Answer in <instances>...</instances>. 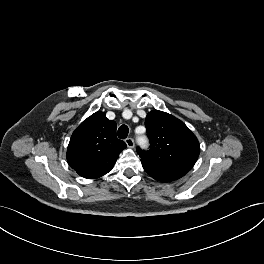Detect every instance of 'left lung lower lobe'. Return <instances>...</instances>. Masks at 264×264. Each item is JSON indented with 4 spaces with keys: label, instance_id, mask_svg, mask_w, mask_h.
<instances>
[{
    "label": "left lung lower lobe",
    "instance_id": "1",
    "mask_svg": "<svg viewBox=\"0 0 264 264\" xmlns=\"http://www.w3.org/2000/svg\"><path fill=\"white\" fill-rule=\"evenodd\" d=\"M141 163L148 175L161 182L174 181L187 173L182 170L152 164L144 160H141Z\"/></svg>",
    "mask_w": 264,
    "mask_h": 264
}]
</instances>
